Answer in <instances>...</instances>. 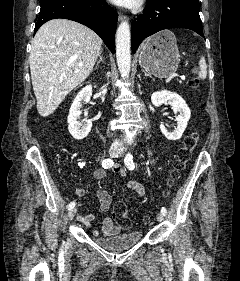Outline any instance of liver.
Instances as JSON below:
<instances>
[{
    "label": "liver",
    "mask_w": 240,
    "mask_h": 281,
    "mask_svg": "<svg viewBox=\"0 0 240 281\" xmlns=\"http://www.w3.org/2000/svg\"><path fill=\"white\" fill-rule=\"evenodd\" d=\"M101 38L88 27L53 19L37 31L29 56L31 79L42 117L90 75L101 51Z\"/></svg>",
    "instance_id": "1"
}]
</instances>
